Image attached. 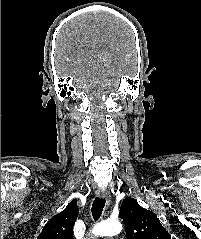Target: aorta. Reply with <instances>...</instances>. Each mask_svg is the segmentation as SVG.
Instances as JSON below:
<instances>
[{
    "instance_id": "762f6f07",
    "label": "aorta",
    "mask_w": 201,
    "mask_h": 239,
    "mask_svg": "<svg viewBox=\"0 0 201 239\" xmlns=\"http://www.w3.org/2000/svg\"><path fill=\"white\" fill-rule=\"evenodd\" d=\"M122 231V224L117 220H106L94 226V236H113Z\"/></svg>"
}]
</instances>
